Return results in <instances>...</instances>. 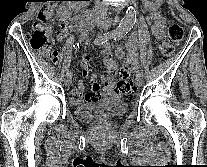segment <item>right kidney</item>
I'll return each instance as SVG.
<instances>
[{
  "mask_svg": "<svg viewBox=\"0 0 207 167\" xmlns=\"http://www.w3.org/2000/svg\"><path fill=\"white\" fill-rule=\"evenodd\" d=\"M65 6L64 5H60L59 9L57 10V16L58 17H63L66 14V10H65Z\"/></svg>",
  "mask_w": 207,
  "mask_h": 167,
  "instance_id": "ca27d5eb",
  "label": "right kidney"
}]
</instances>
